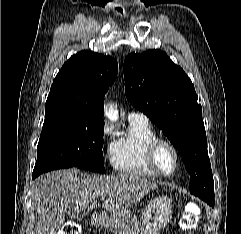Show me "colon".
<instances>
[{
	"label": "colon",
	"instance_id": "colon-1",
	"mask_svg": "<svg viewBox=\"0 0 241 234\" xmlns=\"http://www.w3.org/2000/svg\"><path fill=\"white\" fill-rule=\"evenodd\" d=\"M199 219V210L196 206H190L184 210L180 219L181 228L185 234H192V230L196 227ZM61 234H79V226L69 221L63 228Z\"/></svg>",
	"mask_w": 241,
	"mask_h": 234
}]
</instances>
